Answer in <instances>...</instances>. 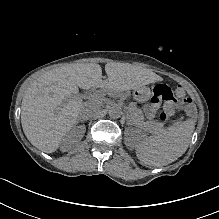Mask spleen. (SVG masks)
I'll list each match as a JSON object with an SVG mask.
<instances>
[{
  "label": "spleen",
  "mask_w": 219,
  "mask_h": 219,
  "mask_svg": "<svg viewBox=\"0 0 219 219\" xmlns=\"http://www.w3.org/2000/svg\"><path fill=\"white\" fill-rule=\"evenodd\" d=\"M194 129L195 122L192 119L177 121L153 136L138 140L135 144L136 155L141 163L148 166L170 164L185 153Z\"/></svg>",
  "instance_id": "obj_1"
}]
</instances>
